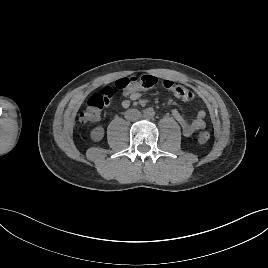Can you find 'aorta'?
I'll return each instance as SVG.
<instances>
[{
  "mask_svg": "<svg viewBox=\"0 0 268 268\" xmlns=\"http://www.w3.org/2000/svg\"><path fill=\"white\" fill-rule=\"evenodd\" d=\"M143 115L146 119H151L155 115V111L153 108H147L143 111Z\"/></svg>",
  "mask_w": 268,
  "mask_h": 268,
  "instance_id": "aorta-1",
  "label": "aorta"
}]
</instances>
